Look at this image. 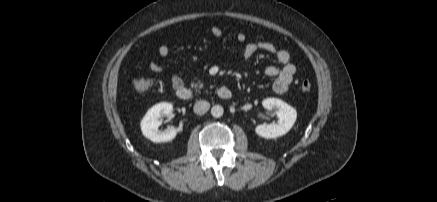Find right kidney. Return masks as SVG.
I'll return each instance as SVG.
<instances>
[{
    "instance_id": "right-kidney-1",
    "label": "right kidney",
    "mask_w": 437,
    "mask_h": 202,
    "mask_svg": "<svg viewBox=\"0 0 437 202\" xmlns=\"http://www.w3.org/2000/svg\"><path fill=\"white\" fill-rule=\"evenodd\" d=\"M173 105L162 102L150 108L141 121L143 135L154 143L168 142L173 140L177 131L173 127H168L164 131H159L158 127L162 124L161 117L171 113Z\"/></svg>"
}]
</instances>
